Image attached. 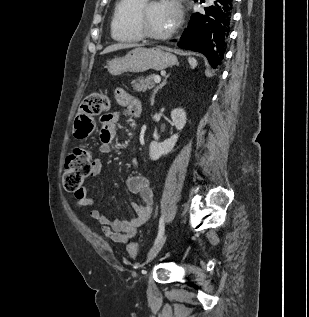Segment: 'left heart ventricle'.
<instances>
[{
	"label": "left heart ventricle",
	"mask_w": 309,
	"mask_h": 317,
	"mask_svg": "<svg viewBox=\"0 0 309 317\" xmlns=\"http://www.w3.org/2000/svg\"><path fill=\"white\" fill-rule=\"evenodd\" d=\"M176 21L165 2H158L150 6L146 15L148 29L156 34H164L174 27Z\"/></svg>",
	"instance_id": "b2bd125f"
}]
</instances>
